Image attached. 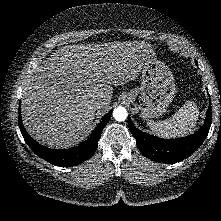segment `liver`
Segmentation results:
<instances>
[{
  "label": "liver",
  "mask_w": 221,
  "mask_h": 221,
  "mask_svg": "<svg viewBox=\"0 0 221 221\" xmlns=\"http://www.w3.org/2000/svg\"><path fill=\"white\" fill-rule=\"evenodd\" d=\"M144 41L74 44L59 48L28 76L21 100L23 124L41 144L70 148L86 138L96 110L111 103L113 85L138 77L154 58Z\"/></svg>",
  "instance_id": "6515ba94"
}]
</instances>
